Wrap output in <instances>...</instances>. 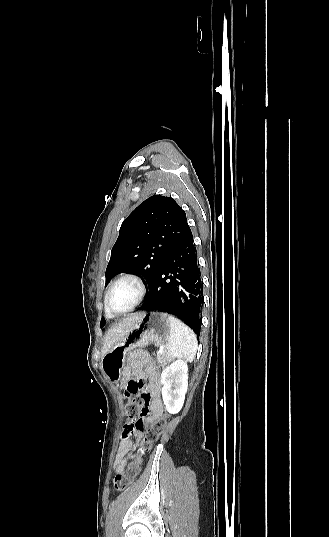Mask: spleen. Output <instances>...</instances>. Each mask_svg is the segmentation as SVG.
<instances>
[{
    "mask_svg": "<svg viewBox=\"0 0 329 537\" xmlns=\"http://www.w3.org/2000/svg\"><path fill=\"white\" fill-rule=\"evenodd\" d=\"M170 326L171 332L167 343L169 355L193 361L198 347L194 332L174 316H170Z\"/></svg>",
    "mask_w": 329,
    "mask_h": 537,
    "instance_id": "obj_1",
    "label": "spleen"
}]
</instances>
